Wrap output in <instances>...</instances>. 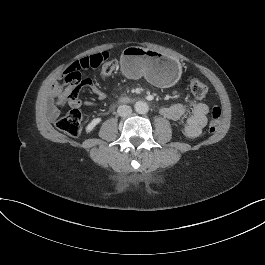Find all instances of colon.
<instances>
[{
    "label": "colon",
    "mask_w": 265,
    "mask_h": 265,
    "mask_svg": "<svg viewBox=\"0 0 265 265\" xmlns=\"http://www.w3.org/2000/svg\"><path fill=\"white\" fill-rule=\"evenodd\" d=\"M98 66H101V75L103 77H109L115 72L117 64L115 60L109 59L106 52H100L81 58L65 70L63 74V84L70 88L79 85L81 82L80 71ZM189 80L190 90L195 98L202 99L208 94V86L203 80L194 77H189ZM220 122L221 109L215 106L212 109L209 132H216ZM56 125L59 130L70 136L76 137L80 135L82 130V114L80 110L77 108L71 109L66 115L58 119Z\"/></svg>",
    "instance_id": "5ec220e1"
}]
</instances>
